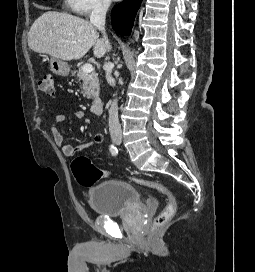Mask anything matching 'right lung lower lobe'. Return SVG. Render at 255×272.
Segmentation results:
<instances>
[{"instance_id":"obj_1","label":"right lung lower lobe","mask_w":255,"mask_h":272,"mask_svg":"<svg viewBox=\"0 0 255 272\" xmlns=\"http://www.w3.org/2000/svg\"><path fill=\"white\" fill-rule=\"evenodd\" d=\"M142 0H126L116 5L111 13L113 29L121 35H130L136 13Z\"/></svg>"}]
</instances>
